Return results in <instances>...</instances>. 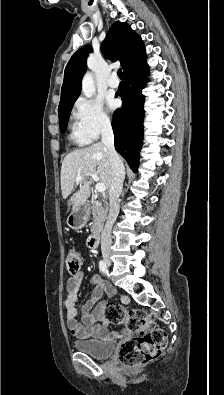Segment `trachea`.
Instances as JSON below:
<instances>
[{
    "mask_svg": "<svg viewBox=\"0 0 224 395\" xmlns=\"http://www.w3.org/2000/svg\"><path fill=\"white\" fill-rule=\"evenodd\" d=\"M117 75H118V77H119L120 79H123V72H122V69H121V68L117 71Z\"/></svg>",
    "mask_w": 224,
    "mask_h": 395,
    "instance_id": "1",
    "label": "trachea"
}]
</instances>
